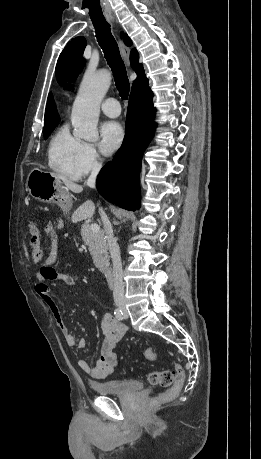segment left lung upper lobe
<instances>
[{"mask_svg": "<svg viewBox=\"0 0 261 459\" xmlns=\"http://www.w3.org/2000/svg\"><path fill=\"white\" fill-rule=\"evenodd\" d=\"M83 50L81 38L76 37L68 43L67 47L60 54L55 74L61 86L65 85L67 81L73 82L82 71L85 63L82 57Z\"/></svg>", "mask_w": 261, "mask_h": 459, "instance_id": "5c2ea615", "label": "left lung upper lobe"}]
</instances>
